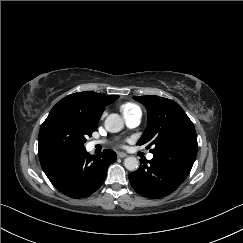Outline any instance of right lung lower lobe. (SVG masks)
I'll return each mask as SVG.
<instances>
[{"label":"right lung lower lobe","mask_w":243,"mask_h":243,"mask_svg":"<svg viewBox=\"0 0 243 243\" xmlns=\"http://www.w3.org/2000/svg\"><path fill=\"white\" fill-rule=\"evenodd\" d=\"M46 176L63 194L72 198H83L100 188L108 167L116 160V153L104 150L92 156L86 149L60 151L40 156Z\"/></svg>","instance_id":"obj_1"}]
</instances>
